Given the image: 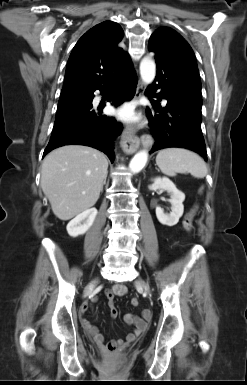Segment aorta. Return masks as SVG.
Instances as JSON below:
<instances>
[{
  "label": "aorta",
  "mask_w": 247,
  "mask_h": 385,
  "mask_svg": "<svg viewBox=\"0 0 247 385\" xmlns=\"http://www.w3.org/2000/svg\"><path fill=\"white\" fill-rule=\"evenodd\" d=\"M140 75L145 84L153 82L156 75L155 62L148 56L144 57L140 63ZM148 160V152L145 150L135 154L129 164V168L133 173H138L143 169Z\"/></svg>",
  "instance_id": "762f6f07"
}]
</instances>
